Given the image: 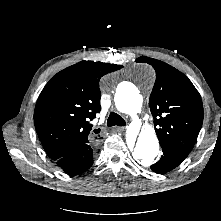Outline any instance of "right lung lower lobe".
Returning <instances> with one entry per match:
<instances>
[{
  "label": "right lung lower lobe",
  "mask_w": 221,
  "mask_h": 221,
  "mask_svg": "<svg viewBox=\"0 0 221 221\" xmlns=\"http://www.w3.org/2000/svg\"><path fill=\"white\" fill-rule=\"evenodd\" d=\"M56 163L66 173L71 175L85 172L93 164V149L91 142L84 144L71 153L56 160Z\"/></svg>",
  "instance_id": "obj_1"
}]
</instances>
